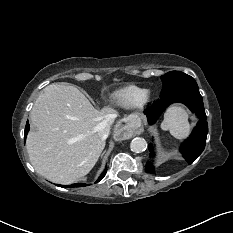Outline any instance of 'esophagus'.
<instances>
[{"instance_id": "1", "label": "esophagus", "mask_w": 233, "mask_h": 233, "mask_svg": "<svg viewBox=\"0 0 233 233\" xmlns=\"http://www.w3.org/2000/svg\"><path fill=\"white\" fill-rule=\"evenodd\" d=\"M140 126V119L135 115H130L126 117L123 122L116 125L113 135L116 139L121 140L137 132Z\"/></svg>"}]
</instances>
